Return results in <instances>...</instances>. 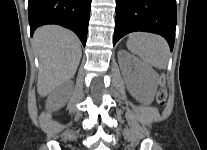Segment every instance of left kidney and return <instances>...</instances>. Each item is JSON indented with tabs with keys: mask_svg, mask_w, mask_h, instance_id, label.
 I'll return each mask as SVG.
<instances>
[{
	"mask_svg": "<svg viewBox=\"0 0 207 150\" xmlns=\"http://www.w3.org/2000/svg\"><path fill=\"white\" fill-rule=\"evenodd\" d=\"M118 59L131 95L141 103L150 104L158 87V75L155 70L124 50L119 51ZM132 66L139 70L140 87L136 85L137 79L132 73Z\"/></svg>",
	"mask_w": 207,
	"mask_h": 150,
	"instance_id": "1",
	"label": "left kidney"
}]
</instances>
